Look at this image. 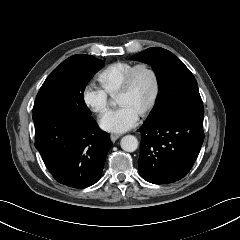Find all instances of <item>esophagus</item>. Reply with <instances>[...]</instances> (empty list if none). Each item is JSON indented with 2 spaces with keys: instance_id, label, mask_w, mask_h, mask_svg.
I'll return each instance as SVG.
<instances>
[{
  "instance_id": "1",
  "label": "esophagus",
  "mask_w": 240,
  "mask_h": 240,
  "mask_svg": "<svg viewBox=\"0 0 240 240\" xmlns=\"http://www.w3.org/2000/svg\"><path fill=\"white\" fill-rule=\"evenodd\" d=\"M119 137H120V135H117V134H111L110 135V138H111L112 142H115Z\"/></svg>"
}]
</instances>
